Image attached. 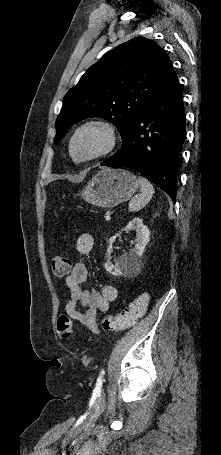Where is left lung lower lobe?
I'll return each mask as SVG.
<instances>
[{
	"label": "left lung lower lobe",
	"instance_id": "left-lung-lower-lobe-1",
	"mask_svg": "<svg viewBox=\"0 0 221 455\" xmlns=\"http://www.w3.org/2000/svg\"><path fill=\"white\" fill-rule=\"evenodd\" d=\"M185 132L183 95L173 71L137 115L121 149L101 165L134 169L175 201L177 165Z\"/></svg>",
	"mask_w": 221,
	"mask_h": 455
}]
</instances>
